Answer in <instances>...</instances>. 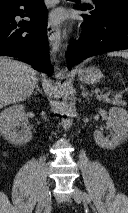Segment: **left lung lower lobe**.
Masks as SVG:
<instances>
[{"label":"left lung lower lobe","mask_w":128,"mask_h":213,"mask_svg":"<svg viewBox=\"0 0 128 213\" xmlns=\"http://www.w3.org/2000/svg\"><path fill=\"white\" fill-rule=\"evenodd\" d=\"M75 9L88 11L81 38L72 42L66 56L69 68L82 60L105 52L128 49V6H113L104 11L85 5Z\"/></svg>","instance_id":"obj_1"}]
</instances>
